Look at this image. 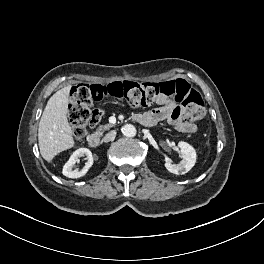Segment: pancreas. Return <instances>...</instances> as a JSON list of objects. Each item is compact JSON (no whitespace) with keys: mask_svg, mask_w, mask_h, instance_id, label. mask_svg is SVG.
Returning <instances> with one entry per match:
<instances>
[{"mask_svg":"<svg viewBox=\"0 0 264 264\" xmlns=\"http://www.w3.org/2000/svg\"><path fill=\"white\" fill-rule=\"evenodd\" d=\"M111 127H113L112 124L100 125L97 129V132L101 134L103 131H105Z\"/></svg>","mask_w":264,"mask_h":264,"instance_id":"cf45deb5","label":"pancreas"}]
</instances>
